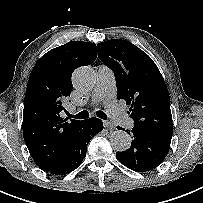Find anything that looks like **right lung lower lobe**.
<instances>
[{"label":"right lung lower lobe","mask_w":203,"mask_h":203,"mask_svg":"<svg viewBox=\"0 0 203 203\" xmlns=\"http://www.w3.org/2000/svg\"><path fill=\"white\" fill-rule=\"evenodd\" d=\"M103 129L100 119L92 117L84 120L74 129L71 139L56 165L45 170L53 175H65L76 169L86 156V149L91 137Z\"/></svg>","instance_id":"right-lung-lower-lobe-1"}]
</instances>
